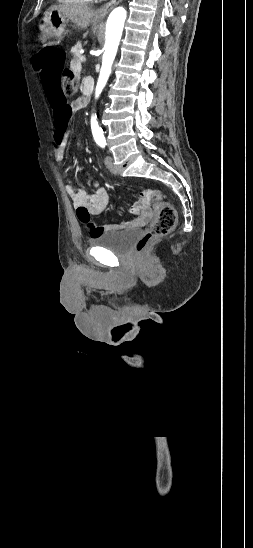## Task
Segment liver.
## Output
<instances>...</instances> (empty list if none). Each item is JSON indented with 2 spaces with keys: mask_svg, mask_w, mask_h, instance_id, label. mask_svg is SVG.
Instances as JSON below:
<instances>
[{
  "mask_svg": "<svg viewBox=\"0 0 253 548\" xmlns=\"http://www.w3.org/2000/svg\"><path fill=\"white\" fill-rule=\"evenodd\" d=\"M49 9L57 11L82 29H86L89 26L95 15V12L89 6L80 4L53 5Z\"/></svg>",
  "mask_w": 253,
  "mask_h": 548,
  "instance_id": "6515ba94",
  "label": "liver"
}]
</instances>
